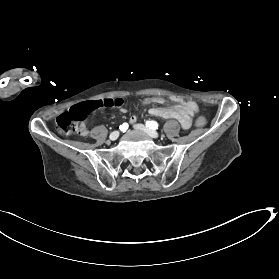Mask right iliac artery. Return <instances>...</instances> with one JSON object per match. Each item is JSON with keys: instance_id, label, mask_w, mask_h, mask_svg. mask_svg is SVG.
<instances>
[{"instance_id": "1", "label": "right iliac artery", "mask_w": 279, "mask_h": 279, "mask_svg": "<svg viewBox=\"0 0 279 279\" xmlns=\"http://www.w3.org/2000/svg\"><path fill=\"white\" fill-rule=\"evenodd\" d=\"M119 129L122 132H125L128 129V124L127 123H123L122 125L119 126Z\"/></svg>"}]
</instances>
